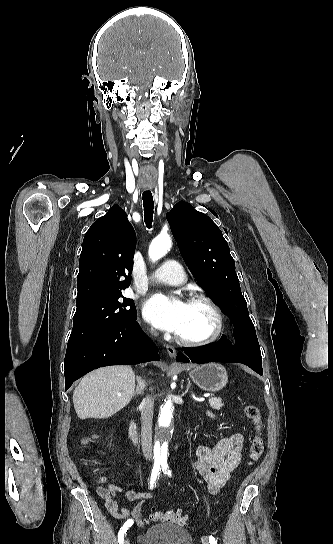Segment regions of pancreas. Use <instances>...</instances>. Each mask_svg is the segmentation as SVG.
<instances>
[{
    "instance_id": "obj_1",
    "label": "pancreas",
    "mask_w": 333,
    "mask_h": 544,
    "mask_svg": "<svg viewBox=\"0 0 333 544\" xmlns=\"http://www.w3.org/2000/svg\"><path fill=\"white\" fill-rule=\"evenodd\" d=\"M209 405L212 409L220 410L223 407L222 399L219 397H212L209 399Z\"/></svg>"
}]
</instances>
